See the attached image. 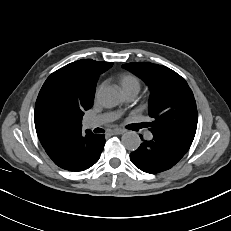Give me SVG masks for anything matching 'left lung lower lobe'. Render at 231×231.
Masks as SVG:
<instances>
[{"label": "left lung lower lobe", "mask_w": 231, "mask_h": 231, "mask_svg": "<svg viewBox=\"0 0 231 231\" xmlns=\"http://www.w3.org/2000/svg\"><path fill=\"white\" fill-rule=\"evenodd\" d=\"M190 146L182 140L153 134L151 140H143L140 147L130 154V160L140 170L156 174L172 168Z\"/></svg>", "instance_id": "obj_1"}]
</instances>
